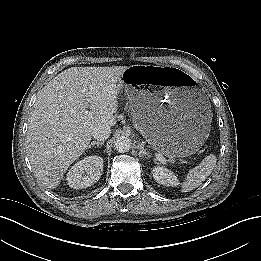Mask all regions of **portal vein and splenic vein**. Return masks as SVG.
Instances as JSON below:
<instances>
[{
    "instance_id": "obj_1",
    "label": "portal vein and splenic vein",
    "mask_w": 261,
    "mask_h": 261,
    "mask_svg": "<svg viewBox=\"0 0 261 261\" xmlns=\"http://www.w3.org/2000/svg\"><path fill=\"white\" fill-rule=\"evenodd\" d=\"M156 158L158 159V161H160L163 164H165L167 162L165 157L162 154H160V153H156Z\"/></svg>"
}]
</instances>
